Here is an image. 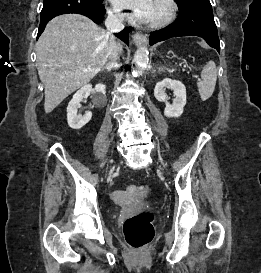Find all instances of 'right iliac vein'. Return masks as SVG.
Instances as JSON below:
<instances>
[{"label":"right iliac vein","instance_id":"1","mask_svg":"<svg viewBox=\"0 0 261 273\" xmlns=\"http://www.w3.org/2000/svg\"><path fill=\"white\" fill-rule=\"evenodd\" d=\"M112 172H113V168L110 169V171H109V173H108V176H110V175L112 174Z\"/></svg>","mask_w":261,"mask_h":273}]
</instances>
